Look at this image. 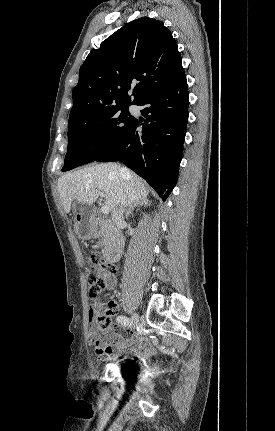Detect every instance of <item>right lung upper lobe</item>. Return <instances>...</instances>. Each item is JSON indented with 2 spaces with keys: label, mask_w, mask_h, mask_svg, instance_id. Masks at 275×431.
<instances>
[{
  "label": "right lung upper lobe",
  "mask_w": 275,
  "mask_h": 431,
  "mask_svg": "<svg viewBox=\"0 0 275 431\" xmlns=\"http://www.w3.org/2000/svg\"><path fill=\"white\" fill-rule=\"evenodd\" d=\"M182 69L177 43L161 21H131L92 49L80 67L69 123L116 105L137 104Z\"/></svg>",
  "instance_id": "right-lung-upper-lobe-1"
}]
</instances>
